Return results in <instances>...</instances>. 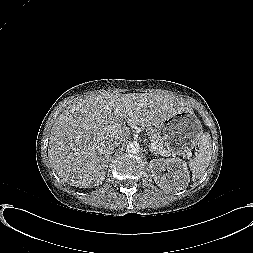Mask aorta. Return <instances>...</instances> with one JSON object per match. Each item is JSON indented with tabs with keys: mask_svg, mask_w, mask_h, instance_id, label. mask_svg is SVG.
I'll use <instances>...</instances> for the list:
<instances>
[{
	"mask_svg": "<svg viewBox=\"0 0 253 253\" xmlns=\"http://www.w3.org/2000/svg\"><path fill=\"white\" fill-rule=\"evenodd\" d=\"M140 150V145L136 141L129 142L126 147L128 153H137Z\"/></svg>",
	"mask_w": 253,
	"mask_h": 253,
	"instance_id": "aorta-1",
	"label": "aorta"
}]
</instances>
